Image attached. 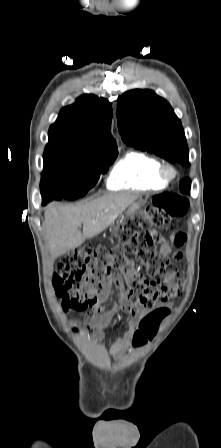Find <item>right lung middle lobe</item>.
<instances>
[{
	"label": "right lung middle lobe",
	"instance_id": "dd1d6c3e",
	"mask_svg": "<svg viewBox=\"0 0 221 448\" xmlns=\"http://www.w3.org/2000/svg\"><path fill=\"white\" fill-rule=\"evenodd\" d=\"M118 152L105 156H85L68 150H45L40 183L43 200H75L83 197L108 171Z\"/></svg>",
	"mask_w": 221,
	"mask_h": 448
}]
</instances>
